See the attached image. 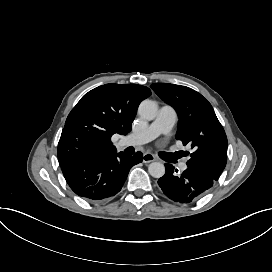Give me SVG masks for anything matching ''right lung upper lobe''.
Here are the masks:
<instances>
[{"instance_id": "1", "label": "right lung upper lobe", "mask_w": 272, "mask_h": 272, "mask_svg": "<svg viewBox=\"0 0 272 272\" xmlns=\"http://www.w3.org/2000/svg\"><path fill=\"white\" fill-rule=\"evenodd\" d=\"M150 95L145 86L114 83L85 94L68 115L62 130L57 150L60 166L115 153L111 136L130 132L138 105Z\"/></svg>"}]
</instances>
